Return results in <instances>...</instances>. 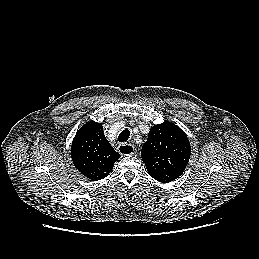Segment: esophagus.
Here are the masks:
<instances>
[{
    "label": "esophagus",
    "instance_id": "obj_1",
    "mask_svg": "<svg viewBox=\"0 0 259 259\" xmlns=\"http://www.w3.org/2000/svg\"><path fill=\"white\" fill-rule=\"evenodd\" d=\"M118 152L122 156H129L135 153V148L132 144H120L118 146Z\"/></svg>",
    "mask_w": 259,
    "mask_h": 259
}]
</instances>
